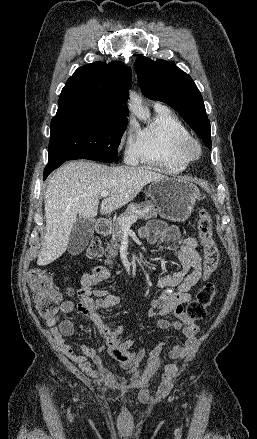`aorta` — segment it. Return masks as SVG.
Instances as JSON below:
<instances>
[{"instance_id": "aorta-1", "label": "aorta", "mask_w": 257, "mask_h": 439, "mask_svg": "<svg viewBox=\"0 0 257 439\" xmlns=\"http://www.w3.org/2000/svg\"><path fill=\"white\" fill-rule=\"evenodd\" d=\"M129 109L131 112L136 115L139 119H146L149 117V111L148 109L144 108L142 106L141 100L139 97L135 94L131 96L130 103H129Z\"/></svg>"}]
</instances>
